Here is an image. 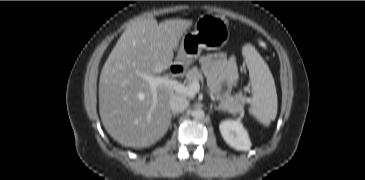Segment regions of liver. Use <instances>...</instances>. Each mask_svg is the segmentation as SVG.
<instances>
[{"mask_svg":"<svg viewBox=\"0 0 365 180\" xmlns=\"http://www.w3.org/2000/svg\"><path fill=\"white\" fill-rule=\"evenodd\" d=\"M191 20H133L123 32L99 81V113L106 131L118 143L148 147L160 140L171 123L169 100L174 90L158 86L156 98L141 74L155 76L170 68Z\"/></svg>","mask_w":365,"mask_h":180,"instance_id":"1","label":"liver"}]
</instances>
